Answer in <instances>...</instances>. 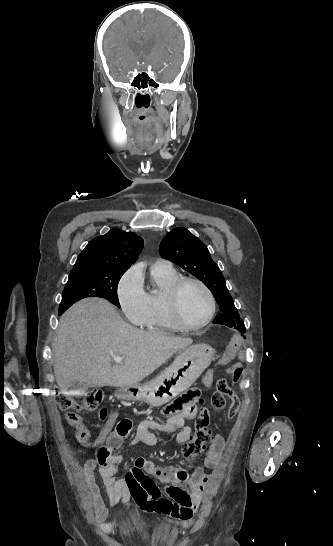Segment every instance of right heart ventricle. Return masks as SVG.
<instances>
[{
    "label": "right heart ventricle",
    "mask_w": 333,
    "mask_h": 546,
    "mask_svg": "<svg viewBox=\"0 0 333 546\" xmlns=\"http://www.w3.org/2000/svg\"><path fill=\"white\" fill-rule=\"evenodd\" d=\"M180 278L173 268H151L150 288L145 291L148 310L142 325L150 331L175 332L178 328L168 317L165 296L172 284Z\"/></svg>",
    "instance_id": "1"
}]
</instances>
